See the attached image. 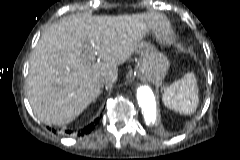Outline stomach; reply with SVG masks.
<instances>
[{
	"label": "stomach",
	"instance_id": "0dacf381",
	"mask_svg": "<svg viewBox=\"0 0 240 160\" xmlns=\"http://www.w3.org/2000/svg\"><path fill=\"white\" fill-rule=\"evenodd\" d=\"M141 73L156 82H160L166 76L169 69L167 57L158 52L150 43L144 44L141 49Z\"/></svg>",
	"mask_w": 240,
	"mask_h": 160
}]
</instances>
